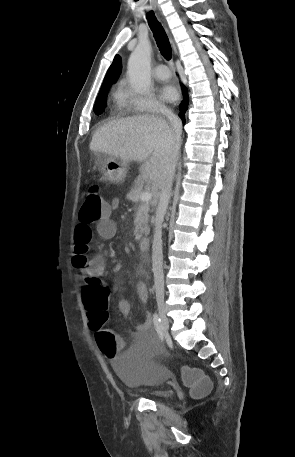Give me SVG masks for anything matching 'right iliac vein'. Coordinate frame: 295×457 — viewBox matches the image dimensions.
Returning a JSON list of instances; mask_svg holds the SVG:
<instances>
[{
  "mask_svg": "<svg viewBox=\"0 0 295 457\" xmlns=\"http://www.w3.org/2000/svg\"><path fill=\"white\" fill-rule=\"evenodd\" d=\"M157 307H158V313H159V317L161 319L163 328H164L165 331H168V329H169V319H168V317L166 315V308H165L164 302L159 300L157 302Z\"/></svg>",
  "mask_w": 295,
  "mask_h": 457,
  "instance_id": "1",
  "label": "right iliac vein"
}]
</instances>
